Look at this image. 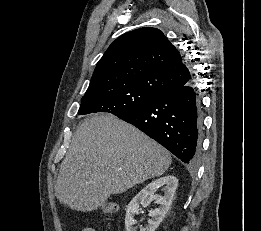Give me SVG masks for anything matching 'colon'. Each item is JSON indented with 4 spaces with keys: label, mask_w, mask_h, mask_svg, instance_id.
Wrapping results in <instances>:
<instances>
[{
    "label": "colon",
    "mask_w": 261,
    "mask_h": 231,
    "mask_svg": "<svg viewBox=\"0 0 261 231\" xmlns=\"http://www.w3.org/2000/svg\"><path fill=\"white\" fill-rule=\"evenodd\" d=\"M100 211L104 214H112L115 213L117 209L114 203H107L100 207Z\"/></svg>",
    "instance_id": "5ec220e1"
}]
</instances>
